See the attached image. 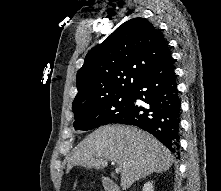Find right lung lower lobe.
<instances>
[{"label":"right lung lower lobe","mask_w":221,"mask_h":191,"mask_svg":"<svg viewBox=\"0 0 221 191\" xmlns=\"http://www.w3.org/2000/svg\"><path fill=\"white\" fill-rule=\"evenodd\" d=\"M129 111L117 123L136 125L179 155L180 99L176 75L167 54L134 87ZM140 99L144 105L136 104Z\"/></svg>","instance_id":"98d812e1"}]
</instances>
